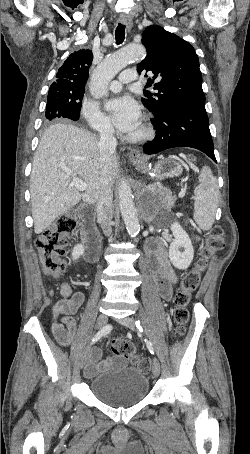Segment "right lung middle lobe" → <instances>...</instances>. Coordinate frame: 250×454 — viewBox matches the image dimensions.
<instances>
[{"instance_id":"right-lung-middle-lobe-1","label":"right lung middle lobe","mask_w":250,"mask_h":454,"mask_svg":"<svg viewBox=\"0 0 250 454\" xmlns=\"http://www.w3.org/2000/svg\"><path fill=\"white\" fill-rule=\"evenodd\" d=\"M48 92L45 121L46 123L57 118H68L74 121L79 119L84 92L75 96L61 95L57 92Z\"/></svg>"}]
</instances>
